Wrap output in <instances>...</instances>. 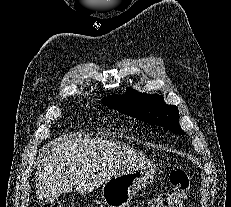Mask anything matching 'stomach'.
I'll use <instances>...</instances> for the list:
<instances>
[{"label": "stomach", "mask_w": 231, "mask_h": 207, "mask_svg": "<svg viewBox=\"0 0 231 207\" xmlns=\"http://www.w3.org/2000/svg\"><path fill=\"white\" fill-rule=\"evenodd\" d=\"M154 172L155 165L148 160L118 171L102 185L104 203L107 207H126L153 180Z\"/></svg>", "instance_id": "obj_1"}]
</instances>
